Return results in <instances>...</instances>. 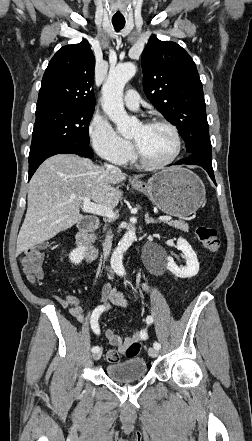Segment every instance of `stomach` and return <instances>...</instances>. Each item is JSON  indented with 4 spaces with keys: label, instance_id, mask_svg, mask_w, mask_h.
I'll list each match as a JSON object with an SVG mask.
<instances>
[{
    "label": "stomach",
    "instance_id": "0dacf381",
    "mask_svg": "<svg viewBox=\"0 0 252 441\" xmlns=\"http://www.w3.org/2000/svg\"><path fill=\"white\" fill-rule=\"evenodd\" d=\"M132 186L144 193L163 212L179 218L196 212L206 194L202 180L183 167L160 171L147 183H132Z\"/></svg>",
    "mask_w": 252,
    "mask_h": 441
}]
</instances>
